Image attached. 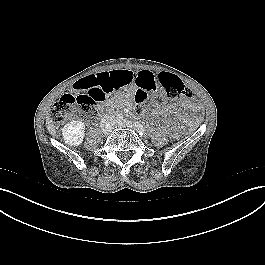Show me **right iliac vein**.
<instances>
[{
    "label": "right iliac vein",
    "instance_id": "right-iliac-vein-1",
    "mask_svg": "<svg viewBox=\"0 0 265 265\" xmlns=\"http://www.w3.org/2000/svg\"><path fill=\"white\" fill-rule=\"evenodd\" d=\"M111 130H112V125L109 124L107 127H105V129H104V133H105V134H109V133L111 132Z\"/></svg>",
    "mask_w": 265,
    "mask_h": 265
}]
</instances>
